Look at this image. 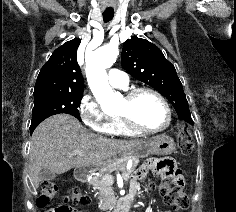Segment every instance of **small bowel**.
Instances as JSON below:
<instances>
[{
	"label": "small bowel",
	"instance_id": "small-bowel-1",
	"mask_svg": "<svg viewBox=\"0 0 236 212\" xmlns=\"http://www.w3.org/2000/svg\"><path fill=\"white\" fill-rule=\"evenodd\" d=\"M157 164V172L161 175H166V174H169L171 173V164H170V161L168 159H161V160H158L157 162H155ZM137 184L134 183L132 185V189L136 190L137 189Z\"/></svg>",
	"mask_w": 236,
	"mask_h": 212
}]
</instances>
